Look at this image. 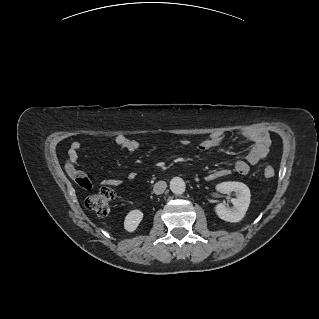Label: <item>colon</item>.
<instances>
[{
    "mask_svg": "<svg viewBox=\"0 0 319 319\" xmlns=\"http://www.w3.org/2000/svg\"><path fill=\"white\" fill-rule=\"evenodd\" d=\"M265 178L269 179L275 175V170L272 166H266L263 170ZM80 183L86 188L90 187L87 180L83 179ZM115 197V192L111 187H103L98 192L87 197L85 201L86 207L95 212L99 216L107 215L111 208V202Z\"/></svg>",
    "mask_w": 319,
    "mask_h": 319,
    "instance_id": "1",
    "label": "colon"
}]
</instances>
